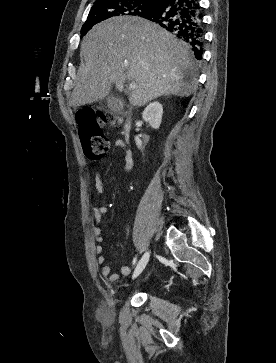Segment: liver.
Wrapping results in <instances>:
<instances>
[{"instance_id": "obj_1", "label": "liver", "mask_w": 276, "mask_h": 363, "mask_svg": "<svg viewBox=\"0 0 276 363\" xmlns=\"http://www.w3.org/2000/svg\"><path fill=\"white\" fill-rule=\"evenodd\" d=\"M85 60L70 106L104 99L112 84L124 91L135 84L129 101L143 106L162 95L190 96L197 89V68L186 44L140 17L120 16L94 26L84 37Z\"/></svg>"}]
</instances>
